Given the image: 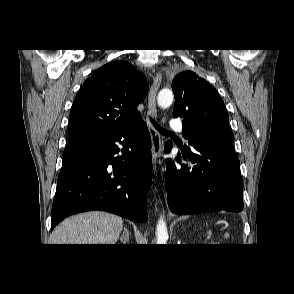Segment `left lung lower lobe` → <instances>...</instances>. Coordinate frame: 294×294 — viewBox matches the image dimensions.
Returning a JSON list of instances; mask_svg holds the SVG:
<instances>
[{
  "label": "left lung lower lobe",
  "instance_id": "obj_1",
  "mask_svg": "<svg viewBox=\"0 0 294 294\" xmlns=\"http://www.w3.org/2000/svg\"><path fill=\"white\" fill-rule=\"evenodd\" d=\"M178 153L191 165L166 162L165 186L170 210L179 215L221 210L240 212L243 210V181L239 159L232 143L188 139ZM172 148L171 142L165 151Z\"/></svg>",
  "mask_w": 294,
  "mask_h": 294
}]
</instances>
